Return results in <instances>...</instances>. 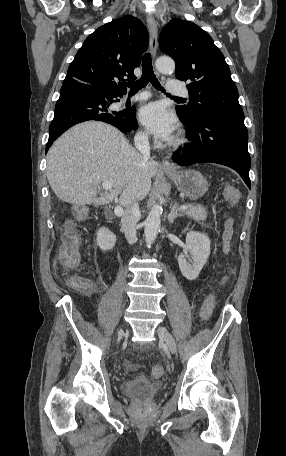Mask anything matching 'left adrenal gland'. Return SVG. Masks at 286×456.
<instances>
[{"mask_svg":"<svg viewBox=\"0 0 286 456\" xmlns=\"http://www.w3.org/2000/svg\"><path fill=\"white\" fill-rule=\"evenodd\" d=\"M182 216H183L182 213H178L177 203H175L173 205V207H171L170 212L168 214V221H169V223L172 224L177 217H182Z\"/></svg>","mask_w":286,"mask_h":456,"instance_id":"obj_1","label":"left adrenal gland"}]
</instances>
